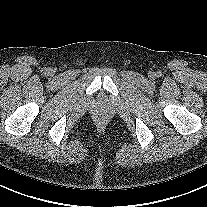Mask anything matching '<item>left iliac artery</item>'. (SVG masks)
<instances>
[{"mask_svg": "<svg viewBox=\"0 0 207 207\" xmlns=\"http://www.w3.org/2000/svg\"><path fill=\"white\" fill-rule=\"evenodd\" d=\"M157 76L160 77L161 76V72H157Z\"/></svg>", "mask_w": 207, "mask_h": 207, "instance_id": "left-iliac-artery-1", "label": "left iliac artery"}]
</instances>
